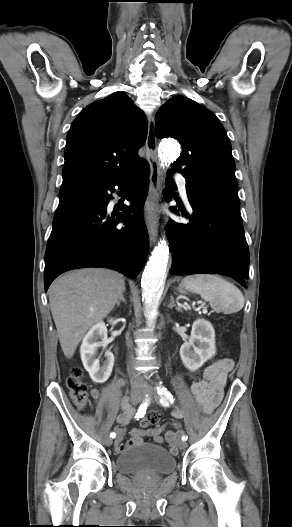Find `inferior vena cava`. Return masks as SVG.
Instances as JSON below:
<instances>
[{
  "mask_svg": "<svg viewBox=\"0 0 292 527\" xmlns=\"http://www.w3.org/2000/svg\"><path fill=\"white\" fill-rule=\"evenodd\" d=\"M130 376H131V385H132V387H136V386H139V385L142 384V382H143L142 378L133 369H131V371H130Z\"/></svg>",
  "mask_w": 292,
  "mask_h": 527,
  "instance_id": "inferior-vena-cava-1",
  "label": "inferior vena cava"
}]
</instances>
